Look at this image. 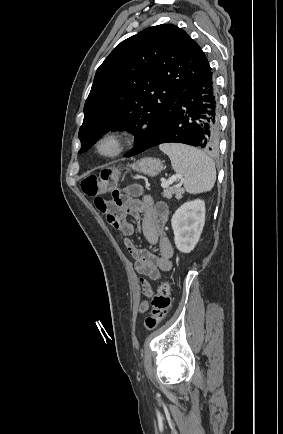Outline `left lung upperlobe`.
Segmentation results:
<instances>
[{
	"label": "left lung upper lobe",
	"instance_id": "1",
	"mask_svg": "<svg viewBox=\"0 0 283 434\" xmlns=\"http://www.w3.org/2000/svg\"><path fill=\"white\" fill-rule=\"evenodd\" d=\"M211 69L200 46L172 24L122 41L97 69L79 130L87 151L110 130L135 135L131 156L149 146L180 94Z\"/></svg>",
	"mask_w": 283,
	"mask_h": 434
}]
</instances>
